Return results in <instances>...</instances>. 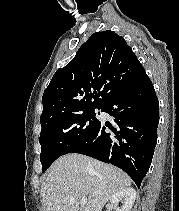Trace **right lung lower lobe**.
Listing matches in <instances>:
<instances>
[{"mask_svg":"<svg viewBox=\"0 0 179 211\" xmlns=\"http://www.w3.org/2000/svg\"><path fill=\"white\" fill-rule=\"evenodd\" d=\"M159 102L144 72L132 85L114 96L103 109L114 117V128L101 121L89 140L75 148L80 153L124 170L138 187L149 170L157 142ZM113 131V135L106 132Z\"/></svg>","mask_w":179,"mask_h":211,"instance_id":"right-lung-lower-lobe-1","label":"right lung lower lobe"}]
</instances>
